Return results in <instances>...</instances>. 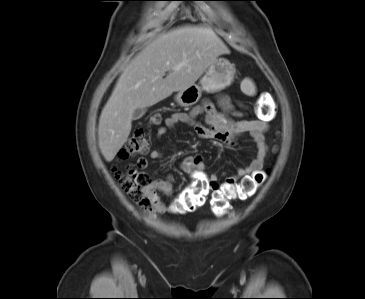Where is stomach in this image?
<instances>
[{"instance_id":"1","label":"stomach","mask_w":365,"mask_h":299,"mask_svg":"<svg viewBox=\"0 0 365 299\" xmlns=\"http://www.w3.org/2000/svg\"><path fill=\"white\" fill-rule=\"evenodd\" d=\"M235 72V67L227 59L217 58L205 71L200 82L179 91L175 101L183 107L195 105L203 91L213 93L229 87L234 81Z\"/></svg>"}]
</instances>
